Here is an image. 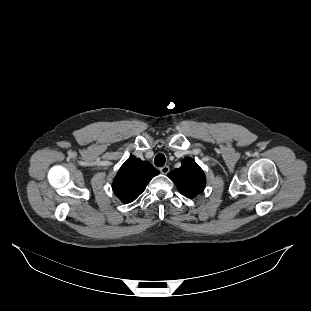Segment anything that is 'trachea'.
<instances>
[{
	"instance_id": "obj_1",
	"label": "trachea",
	"mask_w": 311,
	"mask_h": 311,
	"mask_svg": "<svg viewBox=\"0 0 311 311\" xmlns=\"http://www.w3.org/2000/svg\"><path fill=\"white\" fill-rule=\"evenodd\" d=\"M165 156L163 154H157L154 159V163L157 167H162L165 164Z\"/></svg>"
}]
</instances>
